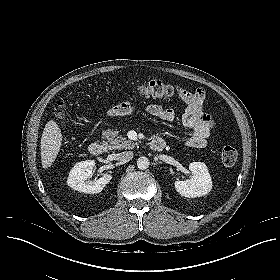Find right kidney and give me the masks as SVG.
Masks as SVG:
<instances>
[{
  "label": "right kidney",
  "mask_w": 280,
  "mask_h": 280,
  "mask_svg": "<svg viewBox=\"0 0 280 280\" xmlns=\"http://www.w3.org/2000/svg\"><path fill=\"white\" fill-rule=\"evenodd\" d=\"M95 166L94 160L81 161L75 164L69 173L67 184L73 190L86 194H97L110 182L112 176L104 174L101 178L89 181ZM88 180V181H87Z\"/></svg>",
  "instance_id": "1"
}]
</instances>
